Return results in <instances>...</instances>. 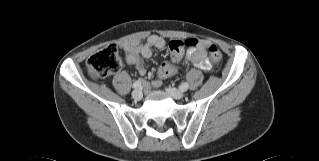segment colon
Here are the masks:
<instances>
[{
    "label": "colon",
    "mask_w": 319,
    "mask_h": 161,
    "mask_svg": "<svg viewBox=\"0 0 319 161\" xmlns=\"http://www.w3.org/2000/svg\"><path fill=\"white\" fill-rule=\"evenodd\" d=\"M197 41L194 39L186 41H170L169 50L174 62L180 59L184 48H195ZM208 51L215 63L221 61V52L216 44H210ZM122 67V58L113 46H108L102 51L93 54L86 62L88 74L95 79L107 77L117 72Z\"/></svg>",
    "instance_id": "colon-1"
}]
</instances>
